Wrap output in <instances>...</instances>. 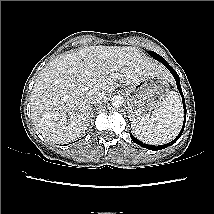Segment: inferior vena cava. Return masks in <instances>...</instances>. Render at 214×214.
Returning <instances> with one entry per match:
<instances>
[{
  "mask_svg": "<svg viewBox=\"0 0 214 214\" xmlns=\"http://www.w3.org/2000/svg\"><path fill=\"white\" fill-rule=\"evenodd\" d=\"M107 99V93L103 90H93L89 92V101L91 104H99Z\"/></svg>",
  "mask_w": 214,
  "mask_h": 214,
  "instance_id": "1",
  "label": "inferior vena cava"
}]
</instances>
